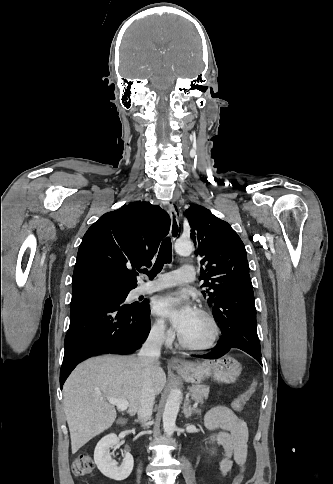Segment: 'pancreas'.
<instances>
[{
	"label": "pancreas",
	"instance_id": "1",
	"mask_svg": "<svg viewBox=\"0 0 333 484\" xmlns=\"http://www.w3.org/2000/svg\"><path fill=\"white\" fill-rule=\"evenodd\" d=\"M188 390L194 401L203 403L209 396L210 387L207 385H193L189 387Z\"/></svg>",
	"mask_w": 333,
	"mask_h": 484
}]
</instances>
